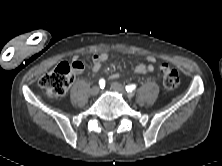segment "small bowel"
Here are the masks:
<instances>
[{
  "label": "small bowel",
  "mask_w": 222,
  "mask_h": 166,
  "mask_svg": "<svg viewBox=\"0 0 222 166\" xmlns=\"http://www.w3.org/2000/svg\"><path fill=\"white\" fill-rule=\"evenodd\" d=\"M108 58H109V55L107 53H104V52L95 53L92 56V70L94 72L100 71V69L102 68V65L108 60ZM76 63L81 64L83 68V64L78 59V57L73 58V64H76ZM154 63H155V58L153 56H148L147 63H140L136 65V67L134 68V71L137 74H146L148 72H152L154 70ZM82 68L76 70V72L77 73L81 72ZM117 77H119L118 73H114L111 75V78L113 79Z\"/></svg>",
  "instance_id": "1"
}]
</instances>
